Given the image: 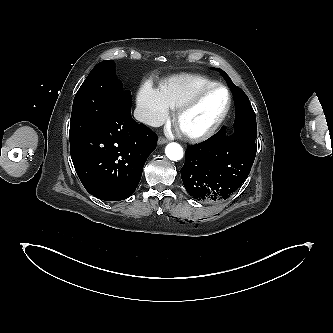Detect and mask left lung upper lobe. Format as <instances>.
Returning <instances> with one entry per match:
<instances>
[{
	"label": "left lung upper lobe",
	"instance_id": "obj_1",
	"mask_svg": "<svg viewBox=\"0 0 333 333\" xmlns=\"http://www.w3.org/2000/svg\"><path fill=\"white\" fill-rule=\"evenodd\" d=\"M216 70L219 71L221 73V75L224 77V79L228 82V84L231 87L232 92L235 94L241 95L246 100V102L249 104L250 102H249L248 97L239 87L234 85V83L232 82L230 77L223 70H221L219 68H217Z\"/></svg>",
	"mask_w": 333,
	"mask_h": 333
}]
</instances>
